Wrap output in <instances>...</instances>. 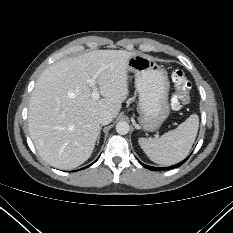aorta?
Instances as JSON below:
<instances>
[{
	"label": "aorta",
	"instance_id": "762f6f07",
	"mask_svg": "<svg viewBox=\"0 0 233 233\" xmlns=\"http://www.w3.org/2000/svg\"><path fill=\"white\" fill-rule=\"evenodd\" d=\"M130 130V126L125 121H120L116 124V132L120 135H126Z\"/></svg>",
	"mask_w": 233,
	"mask_h": 233
}]
</instances>
